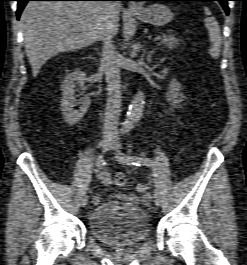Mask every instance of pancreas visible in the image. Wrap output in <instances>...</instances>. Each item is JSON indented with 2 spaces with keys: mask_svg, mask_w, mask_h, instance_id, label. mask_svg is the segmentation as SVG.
Listing matches in <instances>:
<instances>
[{
  "mask_svg": "<svg viewBox=\"0 0 247 265\" xmlns=\"http://www.w3.org/2000/svg\"><path fill=\"white\" fill-rule=\"evenodd\" d=\"M165 46L170 49H174L179 47L180 45V40L177 39L174 35H165L163 36L161 42L159 43V46Z\"/></svg>",
  "mask_w": 247,
  "mask_h": 265,
  "instance_id": "1",
  "label": "pancreas"
}]
</instances>
